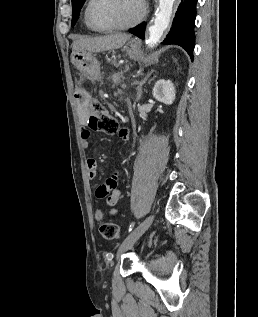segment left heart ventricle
<instances>
[{
  "label": "left heart ventricle",
  "instance_id": "left-heart-ventricle-1",
  "mask_svg": "<svg viewBox=\"0 0 258 317\" xmlns=\"http://www.w3.org/2000/svg\"><path fill=\"white\" fill-rule=\"evenodd\" d=\"M139 12L134 0H99L91 9L93 21L102 27L127 26Z\"/></svg>",
  "mask_w": 258,
  "mask_h": 317
}]
</instances>
